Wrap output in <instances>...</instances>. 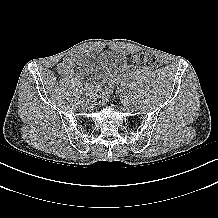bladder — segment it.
Instances as JSON below:
<instances>
[{
	"instance_id": "1",
	"label": "bladder",
	"mask_w": 218,
	"mask_h": 218,
	"mask_svg": "<svg viewBox=\"0 0 218 218\" xmlns=\"http://www.w3.org/2000/svg\"><path fill=\"white\" fill-rule=\"evenodd\" d=\"M80 63L94 89H102L117 79V60L112 53L85 54L81 56Z\"/></svg>"
}]
</instances>
